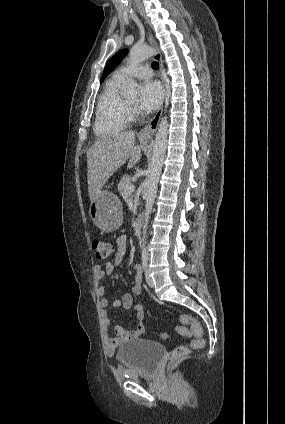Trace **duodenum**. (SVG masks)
<instances>
[{
	"label": "duodenum",
	"instance_id": "1",
	"mask_svg": "<svg viewBox=\"0 0 285 424\" xmlns=\"http://www.w3.org/2000/svg\"><path fill=\"white\" fill-rule=\"evenodd\" d=\"M142 216H140L135 224V228H134V234L135 236L139 237L141 235V231H142Z\"/></svg>",
	"mask_w": 285,
	"mask_h": 424
}]
</instances>
